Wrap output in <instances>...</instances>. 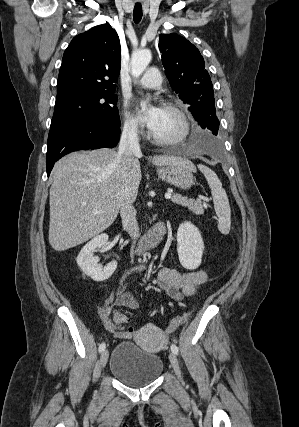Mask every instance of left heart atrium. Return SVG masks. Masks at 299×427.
<instances>
[{
  "instance_id": "left-heart-atrium-1",
  "label": "left heart atrium",
  "mask_w": 299,
  "mask_h": 427,
  "mask_svg": "<svg viewBox=\"0 0 299 427\" xmlns=\"http://www.w3.org/2000/svg\"><path fill=\"white\" fill-rule=\"evenodd\" d=\"M162 108L157 105H152L148 108L136 107L138 119L142 124L146 125L150 130H153L159 120Z\"/></svg>"
}]
</instances>
